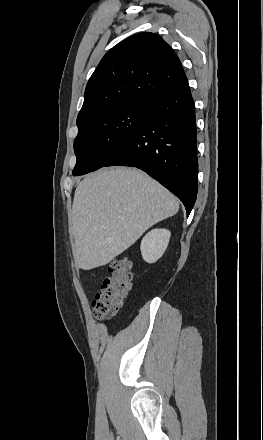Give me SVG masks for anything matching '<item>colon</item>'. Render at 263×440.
<instances>
[{"label": "colon", "mask_w": 263, "mask_h": 440, "mask_svg": "<svg viewBox=\"0 0 263 440\" xmlns=\"http://www.w3.org/2000/svg\"><path fill=\"white\" fill-rule=\"evenodd\" d=\"M131 282V261L126 257L111 261L108 275L104 277L101 290L92 302L95 317L106 319L115 315L131 288Z\"/></svg>", "instance_id": "colon-1"}]
</instances>
